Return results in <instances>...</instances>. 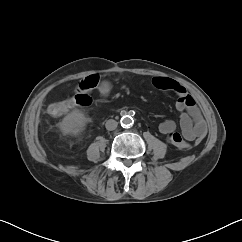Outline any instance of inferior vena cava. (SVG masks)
Here are the masks:
<instances>
[{"label": "inferior vena cava", "instance_id": "obj_1", "mask_svg": "<svg viewBox=\"0 0 242 242\" xmlns=\"http://www.w3.org/2000/svg\"><path fill=\"white\" fill-rule=\"evenodd\" d=\"M118 122L114 119H109L106 121L105 127L107 130L112 131L117 128Z\"/></svg>", "mask_w": 242, "mask_h": 242}]
</instances>
